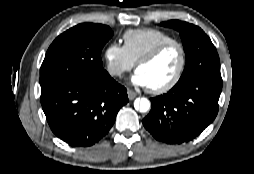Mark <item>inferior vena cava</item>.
<instances>
[{
    "instance_id": "1",
    "label": "inferior vena cava",
    "mask_w": 254,
    "mask_h": 174,
    "mask_svg": "<svg viewBox=\"0 0 254 174\" xmlns=\"http://www.w3.org/2000/svg\"><path fill=\"white\" fill-rule=\"evenodd\" d=\"M120 73H121V72L118 71V72H116L115 74L120 75Z\"/></svg>"
}]
</instances>
